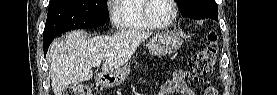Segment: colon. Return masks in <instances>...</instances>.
<instances>
[{"mask_svg": "<svg viewBox=\"0 0 277 95\" xmlns=\"http://www.w3.org/2000/svg\"><path fill=\"white\" fill-rule=\"evenodd\" d=\"M218 53V34L210 31L208 34V46L196 53L190 60L191 70L199 76L210 74L216 64ZM96 85L76 84L66 89V95H90L96 94Z\"/></svg>", "mask_w": 277, "mask_h": 95, "instance_id": "colon-1", "label": "colon"}]
</instances>
